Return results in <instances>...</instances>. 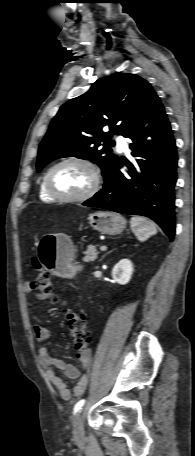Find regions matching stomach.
Listing matches in <instances>:
<instances>
[{"instance_id":"0dacf381","label":"stomach","mask_w":195,"mask_h":456,"mask_svg":"<svg viewBox=\"0 0 195 456\" xmlns=\"http://www.w3.org/2000/svg\"><path fill=\"white\" fill-rule=\"evenodd\" d=\"M88 219L90 225L102 234L116 235L126 227L124 217L109 211H96ZM38 254L49 272L62 277L74 274V246L69 236L62 233L45 235L39 243Z\"/></svg>"}]
</instances>
